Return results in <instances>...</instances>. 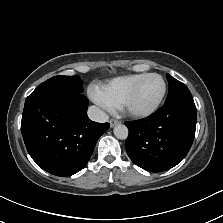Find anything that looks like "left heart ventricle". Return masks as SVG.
<instances>
[{"label": "left heart ventricle", "instance_id": "b2bd125f", "mask_svg": "<svg viewBox=\"0 0 223 223\" xmlns=\"http://www.w3.org/2000/svg\"><path fill=\"white\" fill-rule=\"evenodd\" d=\"M162 91V81L157 76H149L140 84L130 108L136 111H144L151 108Z\"/></svg>", "mask_w": 223, "mask_h": 223}]
</instances>
